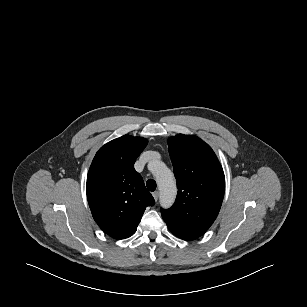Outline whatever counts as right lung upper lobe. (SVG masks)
I'll return each mask as SVG.
<instances>
[{
    "instance_id": "right-lung-upper-lobe-1",
    "label": "right lung upper lobe",
    "mask_w": 307,
    "mask_h": 307,
    "mask_svg": "<svg viewBox=\"0 0 307 307\" xmlns=\"http://www.w3.org/2000/svg\"><path fill=\"white\" fill-rule=\"evenodd\" d=\"M147 143L130 135L114 139L98 150L90 166L88 203L95 222L113 238L130 237L146 207L155 203L133 167Z\"/></svg>"
}]
</instances>
